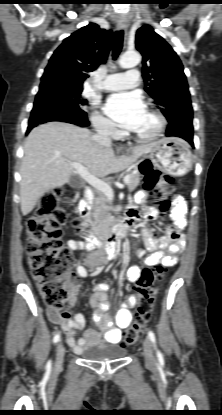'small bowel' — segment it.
I'll list each match as a JSON object with an SVG mask.
<instances>
[{
    "label": "small bowel",
    "instance_id": "1",
    "mask_svg": "<svg viewBox=\"0 0 222 415\" xmlns=\"http://www.w3.org/2000/svg\"><path fill=\"white\" fill-rule=\"evenodd\" d=\"M147 195L146 191H140L139 199L143 200ZM172 201L174 207L171 217L176 227L183 229L187 224L185 218L187 212L186 203L177 195L172 197ZM143 214L146 220H152L158 215V212L155 208L146 206ZM137 216V211L131 208L128 210L126 217L134 221ZM142 233L145 240V249L138 250L136 254L139 257H145L147 265L172 267L178 263V255L183 251L186 244V239L183 234L171 231L167 235L156 236L153 230L148 228L143 229ZM67 246L73 251H81L86 248L85 244L75 239L68 240ZM76 272L79 277H85L87 275V270L82 265H77ZM140 274L141 269L138 266H132L128 269L126 277L133 286H136ZM76 286H79L78 282H76ZM108 290L109 285L107 283H98L94 291L89 294V305L94 310L92 320L99 326L100 331L87 329L79 339L75 338V330L85 327V317L81 313L72 314L69 308L64 311L51 308L47 309L48 318L52 323L61 327L66 335L68 345L75 353H81L89 347L119 344L122 340L123 330L130 325L132 319L131 309L138 302L137 294H131L121 304L116 315V324L114 326L111 319L105 314L109 308L107 298ZM75 304L76 295L73 294L70 298V307H73Z\"/></svg>",
    "mask_w": 222,
    "mask_h": 415
}]
</instances>
